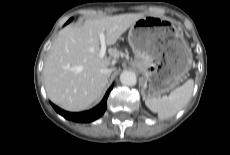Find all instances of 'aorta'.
<instances>
[{"label":"aorta","mask_w":230,"mask_h":155,"mask_svg":"<svg viewBox=\"0 0 230 155\" xmlns=\"http://www.w3.org/2000/svg\"><path fill=\"white\" fill-rule=\"evenodd\" d=\"M120 82L126 86H134L137 83V77L133 72L123 71L120 75Z\"/></svg>","instance_id":"aorta-1"}]
</instances>
